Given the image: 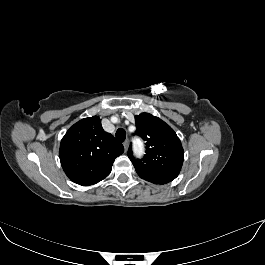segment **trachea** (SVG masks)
I'll use <instances>...</instances> for the list:
<instances>
[{
	"label": "trachea",
	"instance_id": "1",
	"mask_svg": "<svg viewBox=\"0 0 265 265\" xmlns=\"http://www.w3.org/2000/svg\"><path fill=\"white\" fill-rule=\"evenodd\" d=\"M116 139L119 141V142H123L126 138V132L124 129L120 128L116 131Z\"/></svg>",
	"mask_w": 265,
	"mask_h": 265
}]
</instances>
